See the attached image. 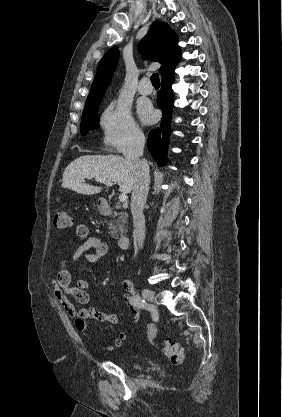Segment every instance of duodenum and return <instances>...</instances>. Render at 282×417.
I'll use <instances>...</instances> for the list:
<instances>
[{
	"label": "duodenum",
	"instance_id": "1",
	"mask_svg": "<svg viewBox=\"0 0 282 417\" xmlns=\"http://www.w3.org/2000/svg\"><path fill=\"white\" fill-rule=\"evenodd\" d=\"M100 212L105 215L112 214V209L106 201H103L101 203ZM129 241H130V236L128 234H121L118 239L119 247L122 250H126L129 246Z\"/></svg>",
	"mask_w": 282,
	"mask_h": 417
}]
</instances>
